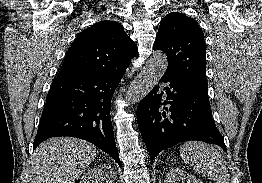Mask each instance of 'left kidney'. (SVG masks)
Segmentation results:
<instances>
[{"label": "left kidney", "instance_id": "5707ae66", "mask_svg": "<svg viewBox=\"0 0 262 183\" xmlns=\"http://www.w3.org/2000/svg\"><path fill=\"white\" fill-rule=\"evenodd\" d=\"M164 183H203V182L201 180H198L192 174H189L184 170L176 168L170 170L167 173Z\"/></svg>", "mask_w": 262, "mask_h": 183}]
</instances>
